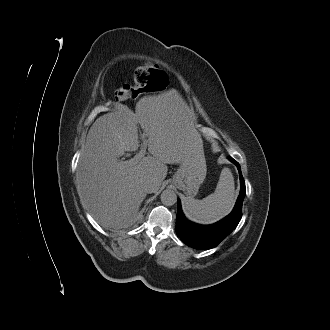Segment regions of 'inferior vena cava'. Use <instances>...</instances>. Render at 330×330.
Returning <instances> with one entry per match:
<instances>
[{
    "label": "inferior vena cava",
    "instance_id": "602c4592",
    "mask_svg": "<svg viewBox=\"0 0 330 330\" xmlns=\"http://www.w3.org/2000/svg\"><path fill=\"white\" fill-rule=\"evenodd\" d=\"M143 189L146 193H153L158 189V185L154 179L148 178L143 183Z\"/></svg>",
    "mask_w": 330,
    "mask_h": 330
}]
</instances>
